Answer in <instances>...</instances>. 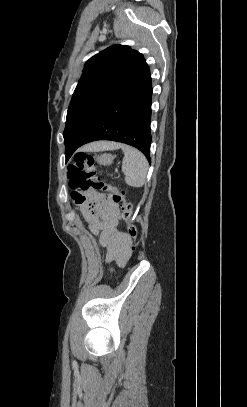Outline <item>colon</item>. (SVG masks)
<instances>
[{"instance_id":"1","label":"colon","mask_w":247,"mask_h":407,"mask_svg":"<svg viewBox=\"0 0 247 407\" xmlns=\"http://www.w3.org/2000/svg\"><path fill=\"white\" fill-rule=\"evenodd\" d=\"M69 185L74 189L73 198L76 203L85 201L84 193L108 192L113 201L121 203L122 218L127 222V233L132 239L130 251L135 249L138 228L132 223V207L126 200L125 192L119 191L108 184L95 165L94 157L87 153H78L68 167Z\"/></svg>"}]
</instances>
